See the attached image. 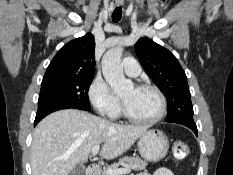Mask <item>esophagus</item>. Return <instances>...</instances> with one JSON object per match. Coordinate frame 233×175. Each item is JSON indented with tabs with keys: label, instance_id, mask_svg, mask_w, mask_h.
Returning a JSON list of instances; mask_svg holds the SVG:
<instances>
[{
	"label": "esophagus",
	"instance_id": "34e87169",
	"mask_svg": "<svg viewBox=\"0 0 233 175\" xmlns=\"http://www.w3.org/2000/svg\"><path fill=\"white\" fill-rule=\"evenodd\" d=\"M116 5L117 6H122L123 5V1H116Z\"/></svg>",
	"mask_w": 233,
	"mask_h": 175
}]
</instances>
